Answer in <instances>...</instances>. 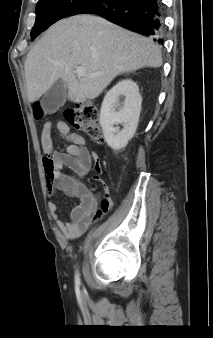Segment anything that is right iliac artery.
<instances>
[{
    "label": "right iliac artery",
    "mask_w": 213,
    "mask_h": 338,
    "mask_svg": "<svg viewBox=\"0 0 213 338\" xmlns=\"http://www.w3.org/2000/svg\"><path fill=\"white\" fill-rule=\"evenodd\" d=\"M75 283H76V285L80 284V277H79L78 272H76V274H75Z\"/></svg>",
    "instance_id": "1"
}]
</instances>
